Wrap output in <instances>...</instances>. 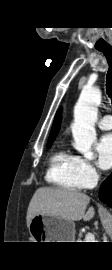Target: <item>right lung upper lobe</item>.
I'll return each mask as SVG.
<instances>
[{
	"label": "right lung upper lobe",
	"mask_w": 112,
	"mask_h": 270,
	"mask_svg": "<svg viewBox=\"0 0 112 270\" xmlns=\"http://www.w3.org/2000/svg\"><path fill=\"white\" fill-rule=\"evenodd\" d=\"M61 113H62V110L59 109L55 115L53 127L51 130L48 142L53 141L59 131L60 123H61Z\"/></svg>",
	"instance_id": "1"
}]
</instances>
